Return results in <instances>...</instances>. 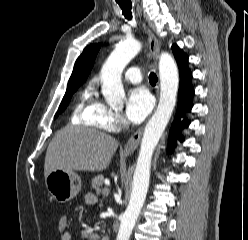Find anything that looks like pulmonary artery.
Wrapping results in <instances>:
<instances>
[{"label": "pulmonary artery", "mask_w": 248, "mask_h": 240, "mask_svg": "<svg viewBox=\"0 0 248 240\" xmlns=\"http://www.w3.org/2000/svg\"><path fill=\"white\" fill-rule=\"evenodd\" d=\"M124 78L131 83H140L142 72L138 68H130L124 72Z\"/></svg>", "instance_id": "e3ab8cb5"}]
</instances>
